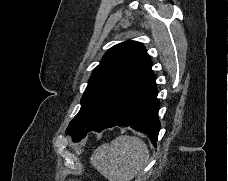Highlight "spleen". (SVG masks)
<instances>
[{"label":"spleen","mask_w":228,"mask_h":181,"mask_svg":"<svg viewBox=\"0 0 228 181\" xmlns=\"http://www.w3.org/2000/svg\"><path fill=\"white\" fill-rule=\"evenodd\" d=\"M93 167L108 181H132L149 161V149L142 139L120 135L95 149Z\"/></svg>","instance_id":"obj_1"}]
</instances>
